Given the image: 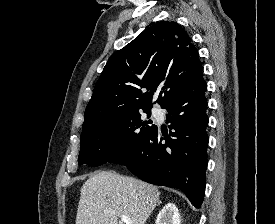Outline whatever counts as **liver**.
<instances>
[{"label": "liver", "mask_w": 275, "mask_h": 224, "mask_svg": "<svg viewBox=\"0 0 275 224\" xmlns=\"http://www.w3.org/2000/svg\"><path fill=\"white\" fill-rule=\"evenodd\" d=\"M159 196L157 187L138 179L95 173L81 187L76 224H119L122 216L132 224H145Z\"/></svg>", "instance_id": "6515ba94"}]
</instances>
